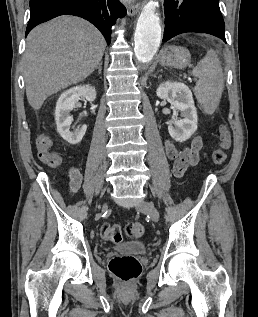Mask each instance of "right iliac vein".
I'll return each mask as SVG.
<instances>
[{
  "mask_svg": "<svg viewBox=\"0 0 258 317\" xmlns=\"http://www.w3.org/2000/svg\"><path fill=\"white\" fill-rule=\"evenodd\" d=\"M104 207H107V202H104Z\"/></svg>",
  "mask_w": 258,
  "mask_h": 317,
  "instance_id": "obj_1",
  "label": "right iliac vein"
}]
</instances>
